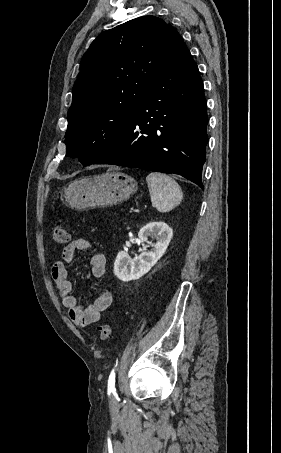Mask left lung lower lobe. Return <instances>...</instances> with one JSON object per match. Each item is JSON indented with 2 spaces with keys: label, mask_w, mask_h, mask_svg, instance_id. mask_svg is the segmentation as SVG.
I'll use <instances>...</instances> for the list:
<instances>
[{
  "label": "left lung lower lobe",
  "mask_w": 281,
  "mask_h": 453,
  "mask_svg": "<svg viewBox=\"0 0 281 453\" xmlns=\"http://www.w3.org/2000/svg\"><path fill=\"white\" fill-rule=\"evenodd\" d=\"M207 122L198 67L178 34L125 129L93 164L175 173L204 189Z\"/></svg>",
  "instance_id": "left-lung-lower-lobe-1"
}]
</instances>
